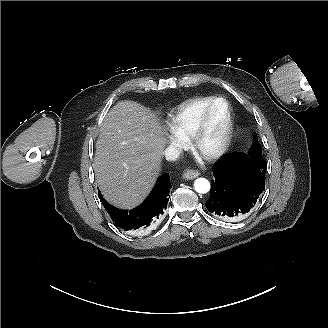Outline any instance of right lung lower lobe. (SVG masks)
<instances>
[{
	"label": "right lung lower lobe",
	"mask_w": 328,
	"mask_h": 328,
	"mask_svg": "<svg viewBox=\"0 0 328 328\" xmlns=\"http://www.w3.org/2000/svg\"><path fill=\"white\" fill-rule=\"evenodd\" d=\"M170 177L165 174L157 179L156 185L146 200L133 210H121L108 204L101 194L104 208L115 225L124 231L145 229L155 222L167 207L170 191Z\"/></svg>",
	"instance_id": "1"
}]
</instances>
